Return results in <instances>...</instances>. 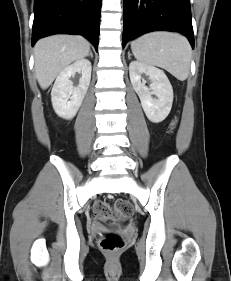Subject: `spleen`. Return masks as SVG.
Here are the masks:
<instances>
[{"instance_id":"1","label":"spleen","mask_w":231,"mask_h":281,"mask_svg":"<svg viewBox=\"0 0 231 281\" xmlns=\"http://www.w3.org/2000/svg\"><path fill=\"white\" fill-rule=\"evenodd\" d=\"M135 58L145 64L161 67L180 81L187 79L192 50L188 40L171 32H152L132 41Z\"/></svg>"}]
</instances>
